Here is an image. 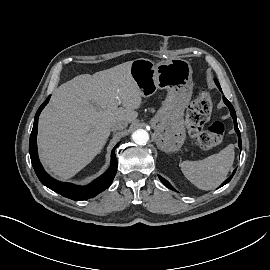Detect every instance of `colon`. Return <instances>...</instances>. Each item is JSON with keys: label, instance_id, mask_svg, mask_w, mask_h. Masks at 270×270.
<instances>
[{"label": "colon", "instance_id": "1", "mask_svg": "<svg viewBox=\"0 0 270 270\" xmlns=\"http://www.w3.org/2000/svg\"><path fill=\"white\" fill-rule=\"evenodd\" d=\"M211 111V94L202 89L197 98L191 102L186 112L188 133L203 150H209L219 145L224 136V125L220 121H214L206 128H203L204 123L211 115Z\"/></svg>", "mask_w": 270, "mask_h": 270}]
</instances>
